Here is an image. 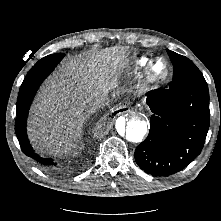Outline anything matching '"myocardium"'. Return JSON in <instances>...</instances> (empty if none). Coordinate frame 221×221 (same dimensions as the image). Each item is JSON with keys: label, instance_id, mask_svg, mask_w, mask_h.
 <instances>
[{"label": "myocardium", "instance_id": "f54148a6", "mask_svg": "<svg viewBox=\"0 0 221 221\" xmlns=\"http://www.w3.org/2000/svg\"><path fill=\"white\" fill-rule=\"evenodd\" d=\"M158 61H163L166 65V72L162 76H158L154 73V66L155 63ZM170 75H171V64L166 58L156 57L150 60L146 69V81L148 84L152 86H159L161 84H164L169 79Z\"/></svg>", "mask_w": 221, "mask_h": 221}]
</instances>
